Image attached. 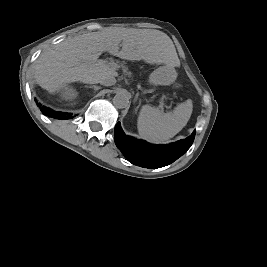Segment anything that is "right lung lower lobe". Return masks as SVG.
I'll use <instances>...</instances> for the list:
<instances>
[{
  "instance_id": "right-lung-lower-lobe-1",
  "label": "right lung lower lobe",
  "mask_w": 267,
  "mask_h": 267,
  "mask_svg": "<svg viewBox=\"0 0 267 267\" xmlns=\"http://www.w3.org/2000/svg\"><path fill=\"white\" fill-rule=\"evenodd\" d=\"M41 110H42L44 115H47L49 117H53V118H56V119H68L69 118V117L66 116L67 113L53 111L52 109H50L48 107H45V106H43L41 108Z\"/></svg>"
}]
</instances>
